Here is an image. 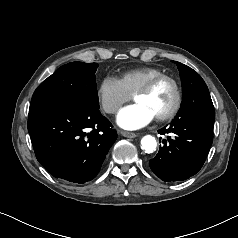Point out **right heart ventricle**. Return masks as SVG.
Returning <instances> with one entry per match:
<instances>
[{
    "label": "right heart ventricle",
    "instance_id": "e07e8e85",
    "mask_svg": "<svg viewBox=\"0 0 238 238\" xmlns=\"http://www.w3.org/2000/svg\"><path fill=\"white\" fill-rule=\"evenodd\" d=\"M165 72L154 66H141L123 72L119 81L129 95H133L139 88L152 78L163 75Z\"/></svg>",
    "mask_w": 238,
    "mask_h": 238
}]
</instances>
